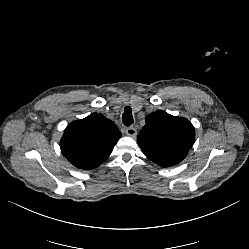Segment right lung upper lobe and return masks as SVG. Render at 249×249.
Wrapping results in <instances>:
<instances>
[{
    "instance_id": "obj_1",
    "label": "right lung upper lobe",
    "mask_w": 249,
    "mask_h": 249,
    "mask_svg": "<svg viewBox=\"0 0 249 249\" xmlns=\"http://www.w3.org/2000/svg\"><path fill=\"white\" fill-rule=\"evenodd\" d=\"M120 137L121 132L113 121L93 113L67 126L60 148L71 164L90 170L107 159Z\"/></svg>"
}]
</instances>
